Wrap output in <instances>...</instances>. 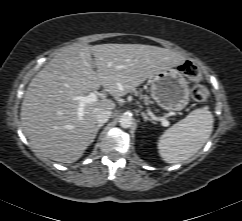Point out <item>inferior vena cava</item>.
<instances>
[{"label":"inferior vena cava","mask_w":242,"mask_h":221,"mask_svg":"<svg viewBox=\"0 0 242 221\" xmlns=\"http://www.w3.org/2000/svg\"><path fill=\"white\" fill-rule=\"evenodd\" d=\"M95 116L97 122L103 124L111 117V111L105 108H99L96 110Z\"/></svg>","instance_id":"1"}]
</instances>
